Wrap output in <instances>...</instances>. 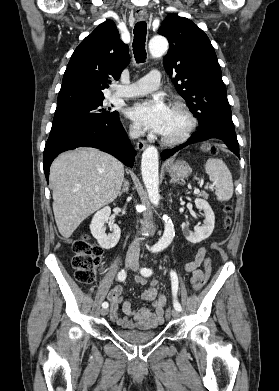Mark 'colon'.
I'll list each match as a JSON object with an SVG mask.
<instances>
[{"mask_svg": "<svg viewBox=\"0 0 279 391\" xmlns=\"http://www.w3.org/2000/svg\"><path fill=\"white\" fill-rule=\"evenodd\" d=\"M204 149L214 154L216 148L212 145H206ZM226 214L225 226L228 229L230 227L231 220L229 213L231 212L230 206L224 207ZM74 256L72 258V266L75 271V278L82 284H92L96 278V273L101 265L102 248L97 244L91 242L88 235H83L73 243ZM212 262L209 257L205 259L204 273L202 277L193 284V290L199 291L207 283L211 274ZM172 314L171 308H168L165 312L166 317H170Z\"/></svg>", "mask_w": 279, "mask_h": 391, "instance_id": "5ec220e1", "label": "colon"}]
</instances>
